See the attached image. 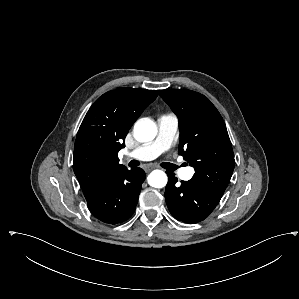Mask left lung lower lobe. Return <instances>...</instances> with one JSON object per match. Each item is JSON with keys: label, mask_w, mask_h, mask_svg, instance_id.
<instances>
[{"label": "left lung lower lobe", "mask_w": 299, "mask_h": 299, "mask_svg": "<svg viewBox=\"0 0 299 299\" xmlns=\"http://www.w3.org/2000/svg\"><path fill=\"white\" fill-rule=\"evenodd\" d=\"M169 177L165 190L166 203L170 213L177 220L197 223L207 218L219 203L223 194L208 185L190 179L177 184L174 173Z\"/></svg>", "instance_id": "obj_1"}]
</instances>
